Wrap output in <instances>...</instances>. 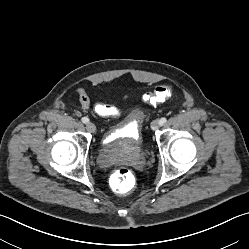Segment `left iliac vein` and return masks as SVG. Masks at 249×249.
I'll list each match as a JSON object with an SVG mask.
<instances>
[{
	"mask_svg": "<svg viewBox=\"0 0 249 249\" xmlns=\"http://www.w3.org/2000/svg\"><path fill=\"white\" fill-rule=\"evenodd\" d=\"M159 128V122L157 120H154L152 123H151V129L153 131L157 130Z\"/></svg>",
	"mask_w": 249,
	"mask_h": 249,
	"instance_id": "1",
	"label": "left iliac vein"
}]
</instances>
